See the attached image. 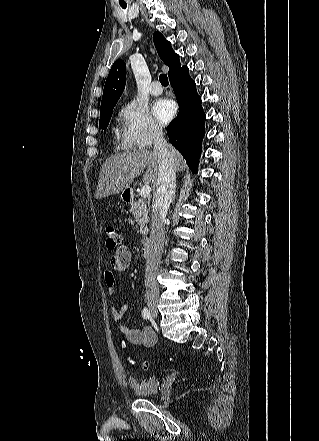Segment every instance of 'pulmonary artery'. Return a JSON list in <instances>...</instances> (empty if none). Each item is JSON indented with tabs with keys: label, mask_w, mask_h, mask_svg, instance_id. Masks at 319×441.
<instances>
[{
	"label": "pulmonary artery",
	"mask_w": 319,
	"mask_h": 441,
	"mask_svg": "<svg viewBox=\"0 0 319 441\" xmlns=\"http://www.w3.org/2000/svg\"><path fill=\"white\" fill-rule=\"evenodd\" d=\"M163 92V89L159 82L154 81L150 87V93L154 96L160 95Z\"/></svg>",
	"instance_id": "1"
}]
</instances>
